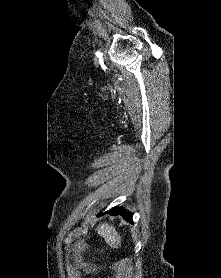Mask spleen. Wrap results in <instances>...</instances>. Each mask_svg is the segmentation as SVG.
I'll return each mask as SVG.
<instances>
[{"label": "spleen", "mask_w": 221, "mask_h": 278, "mask_svg": "<svg viewBox=\"0 0 221 278\" xmlns=\"http://www.w3.org/2000/svg\"><path fill=\"white\" fill-rule=\"evenodd\" d=\"M96 231L110 247L118 248L121 246V236L112 225L103 223L97 227Z\"/></svg>", "instance_id": "1"}]
</instances>
